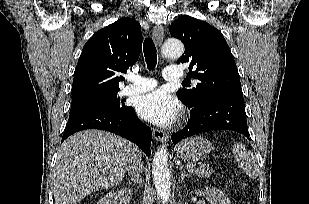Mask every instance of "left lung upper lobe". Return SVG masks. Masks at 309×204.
<instances>
[{
	"label": "left lung upper lobe",
	"instance_id": "obj_1",
	"mask_svg": "<svg viewBox=\"0 0 309 204\" xmlns=\"http://www.w3.org/2000/svg\"><path fill=\"white\" fill-rule=\"evenodd\" d=\"M170 34L185 46L177 63L189 65V74L199 83L177 92L187 107L219 95H243L230 48L222 33L205 21L184 15L172 22Z\"/></svg>",
	"mask_w": 309,
	"mask_h": 204
}]
</instances>
